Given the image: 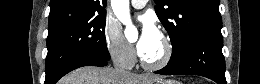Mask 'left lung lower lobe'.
Masks as SVG:
<instances>
[{
	"label": "left lung lower lobe",
	"instance_id": "left-lung-lower-lobe-1",
	"mask_svg": "<svg viewBox=\"0 0 260 84\" xmlns=\"http://www.w3.org/2000/svg\"><path fill=\"white\" fill-rule=\"evenodd\" d=\"M221 32H205L192 37L179 56L156 71L162 75H200L226 84Z\"/></svg>",
	"mask_w": 260,
	"mask_h": 84
}]
</instances>
